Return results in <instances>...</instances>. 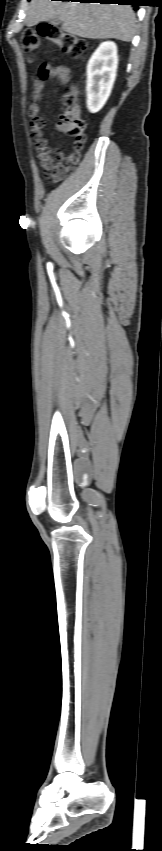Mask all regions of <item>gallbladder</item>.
Returning a JSON list of instances; mask_svg holds the SVG:
<instances>
[{"label":"gallbladder","mask_w":162,"mask_h":851,"mask_svg":"<svg viewBox=\"0 0 162 851\" xmlns=\"http://www.w3.org/2000/svg\"><path fill=\"white\" fill-rule=\"evenodd\" d=\"M49 22L53 25H58V24L61 23V21L58 18L50 19Z\"/></svg>","instance_id":"gallbladder-1"}]
</instances>
